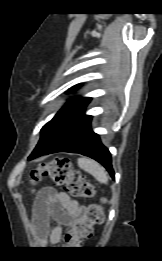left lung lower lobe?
Segmentation results:
<instances>
[{"instance_id":"0a47b994","label":"left lung lower lobe","mask_w":162,"mask_h":261,"mask_svg":"<svg viewBox=\"0 0 162 261\" xmlns=\"http://www.w3.org/2000/svg\"><path fill=\"white\" fill-rule=\"evenodd\" d=\"M90 123L91 120L75 129L44 155L56 152H71L88 156L102 164L114 179L111 154L101 143L99 135L93 132Z\"/></svg>"}]
</instances>
